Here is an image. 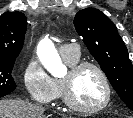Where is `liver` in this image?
I'll list each match as a JSON object with an SVG mask.
<instances>
[{"mask_svg": "<svg viewBox=\"0 0 133 118\" xmlns=\"http://www.w3.org/2000/svg\"><path fill=\"white\" fill-rule=\"evenodd\" d=\"M43 112L40 106L23 100H0V118H48Z\"/></svg>", "mask_w": 133, "mask_h": 118, "instance_id": "6515ba94", "label": "liver"}]
</instances>
